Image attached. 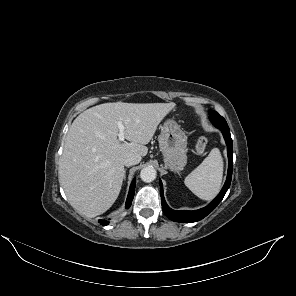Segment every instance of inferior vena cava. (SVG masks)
Masks as SVG:
<instances>
[{"label": "inferior vena cava", "mask_w": 296, "mask_h": 296, "mask_svg": "<svg viewBox=\"0 0 296 296\" xmlns=\"http://www.w3.org/2000/svg\"><path fill=\"white\" fill-rule=\"evenodd\" d=\"M141 161V156L138 154H130L124 158V165L125 166H132L136 165Z\"/></svg>", "instance_id": "inferior-vena-cava-1"}]
</instances>
